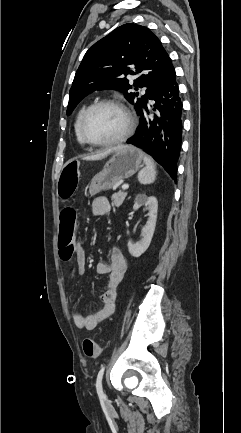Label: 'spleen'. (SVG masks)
I'll list each match as a JSON object with an SVG mask.
<instances>
[{"mask_svg": "<svg viewBox=\"0 0 241 433\" xmlns=\"http://www.w3.org/2000/svg\"><path fill=\"white\" fill-rule=\"evenodd\" d=\"M144 167L138 173V181L143 184H151L156 180V167L154 162L148 156H143Z\"/></svg>", "mask_w": 241, "mask_h": 433, "instance_id": "spleen-1", "label": "spleen"}]
</instances>
